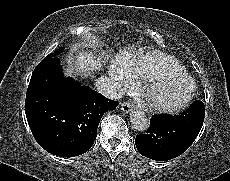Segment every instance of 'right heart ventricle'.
Wrapping results in <instances>:
<instances>
[{
  "label": "right heart ventricle",
  "mask_w": 230,
  "mask_h": 181,
  "mask_svg": "<svg viewBox=\"0 0 230 181\" xmlns=\"http://www.w3.org/2000/svg\"><path fill=\"white\" fill-rule=\"evenodd\" d=\"M113 67L124 71L128 77L148 80L158 73L183 70L179 61L155 50H125L113 60Z\"/></svg>",
  "instance_id": "right-heart-ventricle-1"
}]
</instances>
